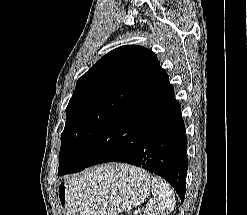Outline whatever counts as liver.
<instances>
[{"label": "liver", "mask_w": 247, "mask_h": 215, "mask_svg": "<svg viewBox=\"0 0 247 215\" xmlns=\"http://www.w3.org/2000/svg\"><path fill=\"white\" fill-rule=\"evenodd\" d=\"M120 168L122 170H127L129 167L126 166V165H120ZM113 169V166L112 165H105V170L106 171H111Z\"/></svg>", "instance_id": "liver-1"}]
</instances>
